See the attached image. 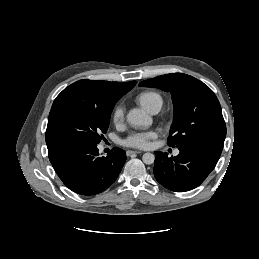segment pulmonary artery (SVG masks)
I'll list each match as a JSON object with an SVG mask.
<instances>
[{"mask_svg":"<svg viewBox=\"0 0 259 259\" xmlns=\"http://www.w3.org/2000/svg\"><path fill=\"white\" fill-rule=\"evenodd\" d=\"M151 113H152V114H155V113H157V111H153V112H151ZM175 154H178V151H176Z\"/></svg>","mask_w":259,"mask_h":259,"instance_id":"obj_1","label":"pulmonary artery"}]
</instances>
